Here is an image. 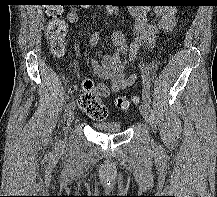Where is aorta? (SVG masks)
<instances>
[{
  "instance_id": "762f6f07",
  "label": "aorta",
  "mask_w": 217,
  "mask_h": 197,
  "mask_svg": "<svg viewBox=\"0 0 217 197\" xmlns=\"http://www.w3.org/2000/svg\"><path fill=\"white\" fill-rule=\"evenodd\" d=\"M106 10L108 15H112L115 12L116 8L114 6L108 5Z\"/></svg>"
}]
</instances>
